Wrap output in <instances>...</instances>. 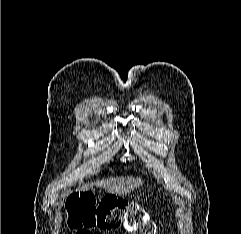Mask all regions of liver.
Listing matches in <instances>:
<instances>
[{
	"label": "liver",
	"mask_w": 241,
	"mask_h": 234,
	"mask_svg": "<svg viewBox=\"0 0 241 234\" xmlns=\"http://www.w3.org/2000/svg\"><path fill=\"white\" fill-rule=\"evenodd\" d=\"M143 184V180L134 177H115L103 179L86 185L85 189H90L94 185L102 187L110 194H127L131 190Z\"/></svg>",
	"instance_id": "liver-1"
}]
</instances>
